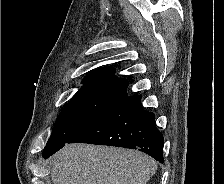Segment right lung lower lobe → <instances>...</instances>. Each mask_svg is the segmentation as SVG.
<instances>
[{"instance_id":"1","label":"right lung lower lobe","mask_w":224,"mask_h":184,"mask_svg":"<svg viewBox=\"0 0 224 184\" xmlns=\"http://www.w3.org/2000/svg\"><path fill=\"white\" fill-rule=\"evenodd\" d=\"M140 100V95L126 96L101 119L76 134L67 143L137 149L163 163V136L156 127L155 115L144 110ZM64 144L44 150L42 157L48 158Z\"/></svg>"}]
</instances>
